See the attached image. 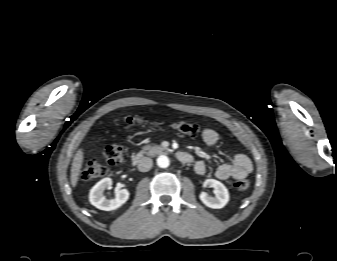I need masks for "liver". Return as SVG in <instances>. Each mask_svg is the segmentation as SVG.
<instances>
[{
	"mask_svg": "<svg viewBox=\"0 0 337 261\" xmlns=\"http://www.w3.org/2000/svg\"><path fill=\"white\" fill-rule=\"evenodd\" d=\"M83 160H84V153H83V149L80 148L76 152L73 162H72V166H71L70 179H71V185L74 188L76 187L78 179H79L80 171L83 165Z\"/></svg>",
	"mask_w": 337,
	"mask_h": 261,
	"instance_id": "6515ba94",
	"label": "liver"
}]
</instances>
